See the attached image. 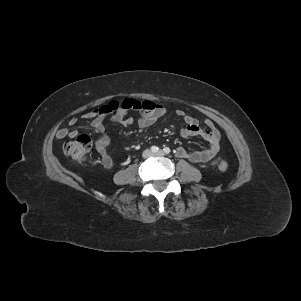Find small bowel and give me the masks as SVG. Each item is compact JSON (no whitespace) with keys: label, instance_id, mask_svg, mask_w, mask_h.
Wrapping results in <instances>:
<instances>
[{"label":"small bowel","instance_id":"small-bowel-1","mask_svg":"<svg viewBox=\"0 0 301 301\" xmlns=\"http://www.w3.org/2000/svg\"><path fill=\"white\" fill-rule=\"evenodd\" d=\"M129 110L137 111L138 117L136 121L141 128L151 127L159 118L164 117L167 114L166 108L161 104L152 101L125 99L122 101L121 108L116 112L101 113L98 112V108H94L83 116L84 119L92 118V127L99 133V137L95 142V148L101 158L103 166L106 168H112L115 165V162L108 151L110 139L105 134L106 116L110 114V120L124 126H131L135 121L133 118L127 117ZM176 115L181 117L185 122V126L180 132L182 137L199 136L209 145L207 149L200 151H189L183 147H179L176 149V155L179 158L186 159L192 163H198L205 166L215 164L214 158L220 150V133L213 122L209 119L205 120V128H202L197 119L186 114L183 110H176ZM78 122L79 119L74 117L69 121V125L74 127ZM77 135L78 132L76 130H69L67 128H61L56 133L58 139H63L65 137L75 138Z\"/></svg>","mask_w":301,"mask_h":301}]
</instances>
